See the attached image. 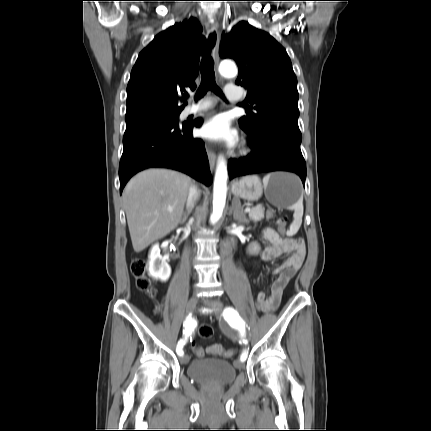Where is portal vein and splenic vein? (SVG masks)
Instances as JSON below:
<instances>
[{
    "instance_id": "obj_1",
    "label": "portal vein and splenic vein",
    "mask_w": 431,
    "mask_h": 431,
    "mask_svg": "<svg viewBox=\"0 0 431 431\" xmlns=\"http://www.w3.org/2000/svg\"><path fill=\"white\" fill-rule=\"evenodd\" d=\"M168 211H169V212H173V209H172V208H168ZM250 211H251V208H250V207H248V208H246V209H245V212H246V213H248V212H250Z\"/></svg>"
}]
</instances>
